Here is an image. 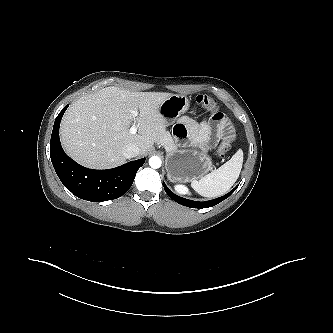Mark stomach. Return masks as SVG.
I'll return each instance as SVG.
<instances>
[{
  "instance_id": "obj_1",
  "label": "stomach",
  "mask_w": 333,
  "mask_h": 333,
  "mask_svg": "<svg viewBox=\"0 0 333 333\" xmlns=\"http://www.w3.org/2000/svg\"><path fill=\"white\" fill-rule=\"evenodd\" d=\"M190 101L185 95L174 94L167 98L159 108L166 123H174L178 117L189 109ZM166 169L170 180L187 182L196 180L212 169V160L195 151L176 150L169 152Z\"/></svg>"
}]
</instances>
